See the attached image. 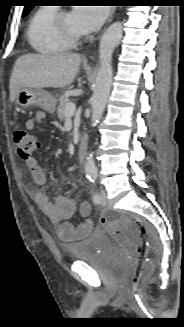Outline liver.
I'll use <instances>...</instances> for the list:
<instances>
[{
  "mask_svg": "<svg viewBox=\"0 0 184 327\" xmlns=\"http://www.w3.org/2000/svg\"><path fill=\"white\" fill-rule=\"evenodd\" d=\"M81 57L75 53L19 57L10 78V100L13 102L22 88H64L75 79Z\"/></svg>",
  "mask_w": 184,
  "mask_h": 327,
  "instance_id": "obj_1",
  "label": "liver"
}]
</instances>
